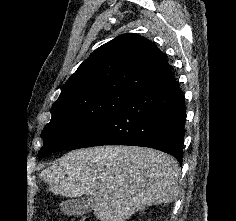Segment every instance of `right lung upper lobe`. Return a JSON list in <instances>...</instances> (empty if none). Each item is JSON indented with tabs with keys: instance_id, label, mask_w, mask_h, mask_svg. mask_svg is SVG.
I'll list each match as a JSON object with an SVG mask.
<instances>
[{
	"instance_id": "obj_1",
	"label": "right lung upper lobe",
	"mask_w": 236,
	"mask_h": 221,
	"mask_svg": "<svg viewBox=\"0 0 236 221\" xmlns=\"http://www.w3.org/2000/svg\"><path fill=\"white\" fill-rule=\"evenodd\" d=\"M171 70L163 52L135 33L122 34L90 54L53 104L109 89L138 91Z\"/></svg>"
}]
</instances>
